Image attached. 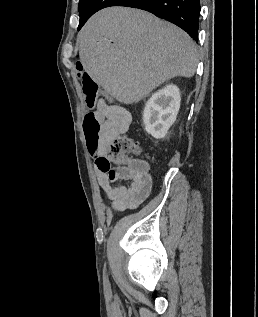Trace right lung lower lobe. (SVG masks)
Masks as SVG:
<instances>
[{
  "label": "right lung lower lobe",
  "mask_w": 258,
  "mask_h": 317,
  "mask_svg": "<svg viewBox=\"0 0 258 317\" xmlns=\"http://www.w3.org/2000/svg\"><path fill=\"white\" fill-rule=\"evenodd\" d=\"M109 6H127L151 12L179 26L198 42L200 0H87L79 10L78 30L95 12Z\"/></svg>",
  "instance_id": "right-lung-lower-lobe-1"
}]
</instances>
